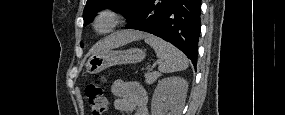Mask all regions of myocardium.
Returning a JSON list of instances; mask_svg holds the SVG:
<instances>
[{"label": "myocardium", "mask_w": 285, "mask_h": 115, "mask_svg": "<svg viewBox=\"0 0 285 115\" xmlns=\"http://www.w3.org/2000/svg\"><path fill=\"white\" fill-rule=\"evenodd\" d=\"M123 21V15L115 8H104L94 16L92 26L99 34H108L118 28Z\"/></svg>", "instance_id": "myocardium-1"}]
</instances>
